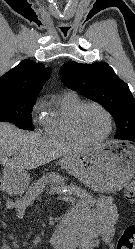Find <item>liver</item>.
Segmentation results:
<instances>
[{
  "label": "liver",
  "instance_id": "obj_1",
  "mask_svg": "<svg viewBox=\"0 0 135 249\" xmlns=\"http://www.w3.org/2000/svg\"><path fill=\"white\" fill-rule=\"evenodd\" d=\"M82 149L62 145L20 130L13 124L0 122V164L9 171L34 169Z\"/></svg>",
  "mask_w": 135,
  "mask_h": 249
}]
</instances>
